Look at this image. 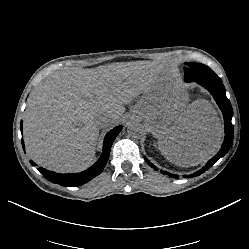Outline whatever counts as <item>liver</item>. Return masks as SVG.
<instances>
[{"mask_svg":"<svg viewBox=\"0 0 249 249\" xmlns=\"http://www.w3.org/2000/svg\"><path fill=\"white\" fill-rule=\"evenodd\" d=\"M172 81L162 69L113 64L54 74L34 90L24 114V141L31 158L57 172L82 170L93 162L99 137L96 119L120 120L125 106L141 121L158 146L169 147L167 159L194 166L210 158L221 144L223 127L213 107L187 98L172 100Z\"/></svg>","mask_w":249,"mask_h":249,"instance_id":"6515ba94","label":"liver"}]
</instances>
